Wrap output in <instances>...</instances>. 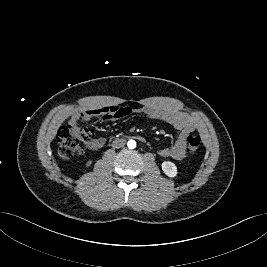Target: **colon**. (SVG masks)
Here are the masks:
<instances>
[{"instance_id":"1","label":"colon","mask_w":267,"mask_h":267,"mask_svg":"<svg viewBox=\"0 0 267 267\" xmlns=\"http://www.w3.org/2000/svg\"><path fill=\"white\" fill-rule=\"evenodd\" d=\"M93 136V131L84 120L69 122L62 126L56 136L58 145V155L63 160H69L77 155L89 142ZM201 144L198 135H189L187 138V148L190 152H196Z\"/></svg>"}]
</instances>
